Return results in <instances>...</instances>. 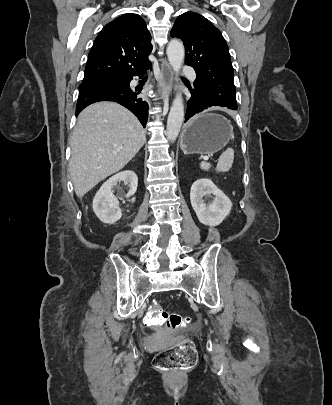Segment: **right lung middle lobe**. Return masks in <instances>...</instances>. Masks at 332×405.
Returning <instances> with one entry per match:
<instances>
[{
	"instance_id": "right-lung-middle-lobe-1",
	"label": "right lung middle lobe",
	"mask_w": 332,
	"mask_h": 405,
	"mask_svg": "<svg viewBox=\"0 0 332 405\" xmlns=\"http://www.w3.org/2000/svg\"><path fill=\"white\" fill-rule=\"evenodd\" d=\"M84 81H88V80H86V79L84 78V79H83V82H84Z\"/></svg>"
}]
</instances>
